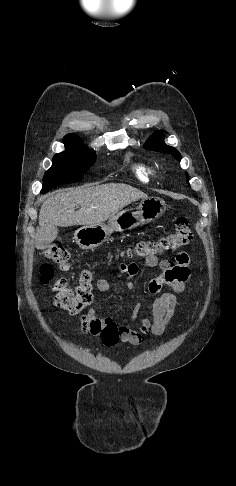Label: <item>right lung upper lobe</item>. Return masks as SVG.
Returning a JSON list of instances; mask_svg holds the SVG:
<instances>
[{"label":"right lung upper lobe","instance_id":"1","mask_svg":"<svg viewBox=\"0 0 236 486\" xmlns=\"http://www.w3.org/2000/svg\"><path fill=\"white\" fill-rule=\"evenodd\" d=\"M65 142H74V143H80V144H83L81 142V139L76 136L75 134H67L65 137Z\"/></svg>","mask_w":236,"mask_h":486}]
</instances>
